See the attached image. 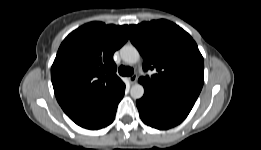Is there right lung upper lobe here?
Wrapping results in <instances>:
<instances>
[{
    "mask_svg": "<svg viewBox=\"0 0 261 150\" xmlns=\"http://www.w3.org/2000/svg\"><path fill=\"white\" fill-rule=\"evenodd\" d=\"M129 26L85 24L62 42L51 67L58 103L76 124L100 114L124 95L114 52L128 40Z\"/></svg>",
    "mask_w": 261,
    "mask_h": 150,
    "instance_id": "cb5924a9",
    "label": "right lung upper lobe"
}]
</instances>
